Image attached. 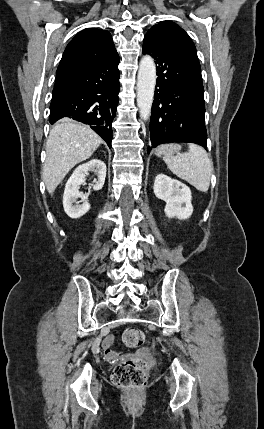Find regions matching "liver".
<instances>
[{
	"instance_id": "obj_1",
	"label": "liver",
	"mask_w": 264,
	"mask_h": 429,
	"mask_svg": "<svg viewBox=\"0 0 264 429\" xmlns=\"http://www.w3.org/2000/svg\"><path fill=\"white\" fill-rule=\"evenodd\" d=\"M101 137L88 126L64 118L49 133L42 178L52 194L66 174L87 160L102 143Z\"/></svg>"
}]
</instances>
